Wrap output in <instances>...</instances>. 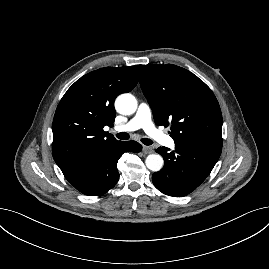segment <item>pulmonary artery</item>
Returning a JSON list of instances; mask_svg holds the SVG:
<instances>
[{
  "label": "pulmonary artery",
  "instance_id": "obj_1",
  "mask_svg": "<svg viewBox=\"0 0 269 269\" xmlns=\"http://www.w3.org/2000/svg\"><path fill=\"white\" fill-rule=\"evenodd\" d=\"M140 128L158 143L170 148L174 147V140L154 126L151 109L145 102L140 103L135 116L129 122L116 126L114 129L117 132H129Z\"/></svg>",
  "mask_w": 269,
  "mask_h": 269
}]
</instances>
